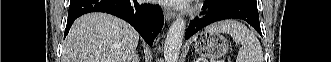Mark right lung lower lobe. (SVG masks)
I'll return each instance as SVG.
<instances>
[{"label": "right lung lower lobe", "mask_w": 331, "mask_h": 62, "mask_svg": "<svg viewBox=\"0 0 331 62\" xmlns=\"http://www.w3.org/2000/svg\"><path fill=\"white\" fill-rule=\"evenodd\" d=\"M90 12H106L125 20L150 46L164 23L159 5L140 4L137 0H71L64 36L76 18Z\"/></svg>", "instance_id": "obj_1"}]
</instances>
